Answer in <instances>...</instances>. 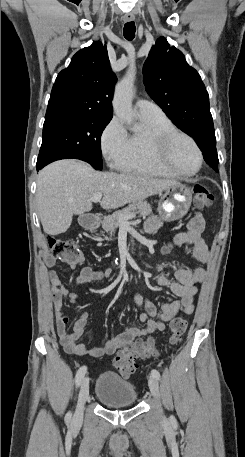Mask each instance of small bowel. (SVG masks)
Here are the masks:
<instances>
[{
    "mask_svg": "<svg viewBox=\"0 0 245 457\" xmlns=\"http://www.w3.org/2000/svg\"><path fill=\"white\" fill-rule=\"evenodd\" d=\"M161 226V220L157 216H151L145 223L147 233H154ZM205 229V219L202 213H196L188 222L187 230L175 234L173 243L176 246L190 245L193 247L194 257L201 263H206L208 259V247L202 237ZM58 262L74 269L76 261L69 259H60L46 255L44 264L47 268V277L51 288V300L55 312L56 331L64 350L70 354L77 356L101 357L104 355H112L124 345L140 338L149 337L157 332L165 330V323L175 319L180 313L191 314L194 311V296L197 294V284L200 283L206 275L204 268H196L190 270L178 264H171L173 270V278H169L162 274L163 269L167 264L163 263L157 266L153 278L156 283L163 288L171 291L179 299L176 301L166 302L162 304L160 309L156 305L145 298L140 293H136L133 297L135 305L141 309L139 316V326H127L113 338L108 340L103 346L88 347L78 343V340L83 335L85 328L89 323V315L87 313L80 314L73 326V331H68V318L61 314L63 301L69 298L71 302H75L76 294L71 292L69 288L62 282L58 274L52 269ZM111 270L95 271L89 266L81 269L80 274L75 280L76 285H81L88 282L103 281L110 277Z\"/></svg>",
    "mask_w": 245,
    "mask_h": 457,
    "instance_id": "c3829d8e",
    "label": "small bowel"
}]
</instances>
